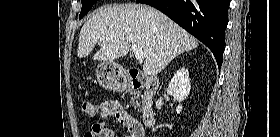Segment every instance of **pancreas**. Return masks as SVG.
<instances>
[{
  "label": "pancreas",
  "instance_id": "cf45deb5",
  "mask_svg": "<svg viewBox=\"0 0 280 137\" xmlns=\"http://www.w3.org/2000/svg\"><path fill=\"white\" fill-rule=\"evenodd\" d=\"M138 98H139V94L138 93H134L133 96L131 97L132 104L134 105L135 108H139L140 107V103L138 101Z\"/></svg>",
  "mask_w": 280,
  "mask_h": 137
}]
</instances>
